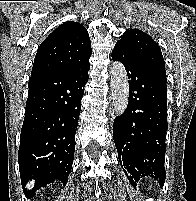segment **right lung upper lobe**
Listing matches in <instances>:
<instances>
[{"label":"right lung upper lobe","mask_w":196,"mask_h":201,"mask_svg":"<svg viewBox=\"0 0 196 201\" xmlns=\"http://www.w3.org/2000/svg\"><path fill=\"white\" fill-rule=\"evenodd\" d=\"M91 54L86 28L78 22L63 23L39 46L31 77L83 68Z\"/></svg>","instance_id":"1"}]
</instances>
